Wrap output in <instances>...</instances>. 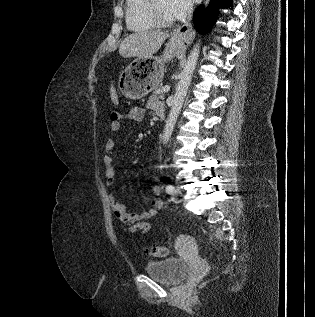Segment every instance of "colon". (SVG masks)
<instances>
[{"label":"colon","instance_id":"5ec220e1","mask_svg":"<svg viewBox=\"0 0 315 317\" xmlns=\"http://www.w3.org/2000/svg\"><path fill=\"white\" fill-rule=\"evenodd\" d=\"M111 99L114 103L118 102V97L114 89L111 90ZM148 252L155 257H166L169 253L168 249L164 246H150Z\"/></svg>","mask_w":315,"mask_h":317}]
</instances>
